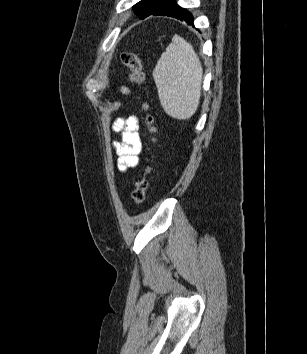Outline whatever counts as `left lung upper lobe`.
<instances>
[{
  "instance_id": "1",
  "label": "left lung upper lobe",
  "mask_w": 307,
  "mask_h": 354,
  "mask_svg": "<svg viewBox=\"0 0 307 354\" xmlns=\"http://www.w3.org/2000/svg\"><path fill=\"white\" fill-rule=\"evenodd\" d=\"M169 0H142L133 6L135 13L144 19L149 15L160 11Z\"/></svg>"
}]
</instances>
